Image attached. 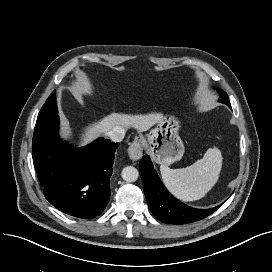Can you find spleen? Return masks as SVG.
<instances>
[{
  "label": "spleen",
  "instance_id": "3e777b00",
  "mask_svg": "<svg viewBox=\"0 0 272 272\" xmlns=\"http://www.w3.org/2000/svg\"><path fill=\"white\" fill-rule=\"evenodd\" d=\"M221 168V152L210 148L191 166L170 169L161 165L160 171L165 186L175 197L182 201H195L203 198L216 184Z\"/></svg>",
  "mask_w": 272,
  "mask_h": 272
}]
</instances>
